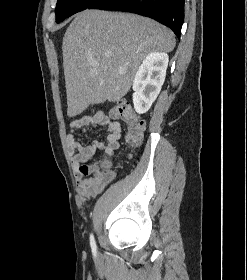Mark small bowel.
<instances>
[{
	"instance_id": "obj_1",
	"label": "small bowel",
	"mask_w": 247,
	"mask_h": 280,
	"mask_svg": "<svg viewBox=\"0 0 247 280\" xmlns=\"http://www.w3.org/2000/svg\"><path fill=\"white\" fill-rule=\"evenodd\" d=\"M97 126L106 128L108 134L105 142L96 140L89 145H82L77 140L76 133L78 131H86L89 127ZM121 132L120 123L103 112H98L94 116H84L71 122L67 143L74 169L76 187L85 198H92L101 193L114 178L113 172L107 179L93 177L84 171V167L87 166L85 164L95 157L98 149L103 150L107 155H112L119 147Z\"/></svg>"
}]
</instances>
